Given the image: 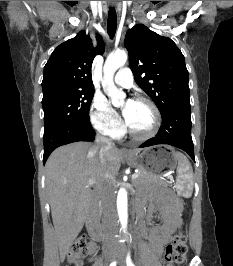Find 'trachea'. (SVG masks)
<instances>
[{
    "label": "trachea",
    "instance_id": "1",
    "mask_svg": "<svg viewBox=\"0 0 233 266\" xmlns=\"http://www.w3.org/2000/svg\"><path fill=\"white\" fill-rule=\"evenodd\" d=\"M117 29V16L115 8H109L108 21H107V31L110 38H113Z\"/></svg>",
    "mask_w": 233,
    "mask_h": 266
}]
</instances>
